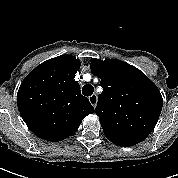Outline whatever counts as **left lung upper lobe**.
I'll use <instances>...</instances> for the list:
<instances>
[{
  "label": "left lung upper lobe",
  "mask_w": 178,
  "mask_h": 178,
  "mask_svg": "<svg viewBox=\"0 0 178 178\" xmlns=\"http://www.w3.org/2000/svg\"><path fill=\"white\" fill-rule=\"evenodd\" d=\"M91 72L101 79L95 113L105 136L115 145L132 146L154 129L163 105L157 86L139 69L117 59H92Z\"/></svg>",
  "instance_id": "1"
}]
</instances>
